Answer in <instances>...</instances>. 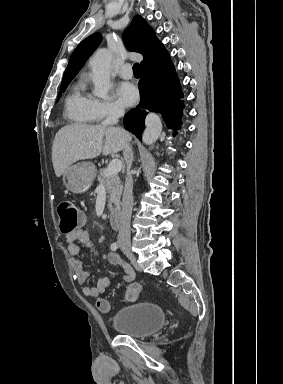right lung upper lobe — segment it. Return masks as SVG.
<instances>
[{"label":"right lung upper lobe","instance_id":"obj_1","mask_svg":"<svg viewBox=\"0 0 283 384\" xmlns=\"http://www.w3.org/2000/svg\"><path fill=\"white\" fill-rule=\"evenodd\" d=\"M101 39L100 33H94L76 47L65 70L62 83L71 82L88 57L98 47ZM123 39L129 50L144 56V60L141 62V73L161 69L171 62L167 50L156 38L154 30L139 15L134 17L131 25L124 32Z\"/></svg>","mask_w":283,"mask_h":384}]
</instances>
